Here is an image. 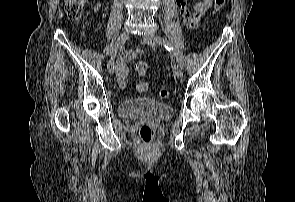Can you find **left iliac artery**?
<instances>
[{"label": "left iliac artery", "instance_id": "1", "mask_svg": "<svg viewBox=\"0 0 295 202\" xmlns=\"http://www.w3.org/2000/svg\"><path fill=\"white\" fill-rule=\"evenodd\" d=\"M157 41H158L160 44H162V45L166 48V50H168L170 53H173V54L176 56L179 66L181 67V69H183V68H184V63H183V61H182V59L178 56V54H176V53L174 52V50H173V48L171 47L170 43H169L166 39L161 38V37H157Z\"/></svg>", "mask_w": 295, "mask_h": 202}]
</instances>
